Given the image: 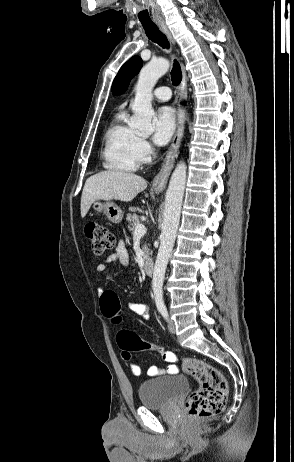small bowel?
<instances>
[{"label":"small bowel","instance_id":"c3829d8e","mask_svg":"<svg viewBox=\"0 0 294 462\" xmlns=\"http://www.w3.org/2000/svg\"><path fill=\"white\" fill-rule=\"evenodd\" d=\"M111 262H118L122 264L123 266H128L130 264V258L129 255L124 247L123 244H119L115 250V252L111 255H109L105 263H111ZM105 263H99L96 267L97 271L99 273H104L106 271V265ZM104 291L103 289L99 288L98 293L102 294ZM128 308L137 314L139 317H141L143 320L148 321L150 319V309L148 304L145 303H136V302H130L128 303ZM164 361L168 363L167 367L165 369H159L156 366H151L147 370V375L149 376H156V375H162V374H177L179 372V367L177 366V357L176 355L169 351L166 350L163 346H159V351H158ZM122 358L124 361L128 362L130 361L131 357H126L122 353ZM130 371L133 375L139 376L141 374V368L137 364H130L129 366Z\"/></svg>","mask_w":294,"mask_h":462}]
</instances>
